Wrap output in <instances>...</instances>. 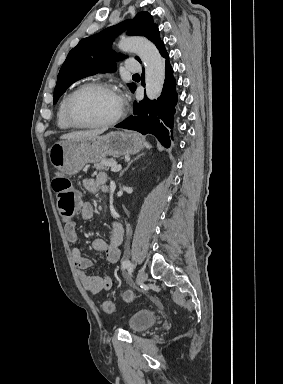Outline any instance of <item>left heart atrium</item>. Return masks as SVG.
Wrapping results in <instances>:
<instances>
[{"instance_id":"obj_1","label":"left heart atrium","mask_w":283,"mask_h":384,"mask_svg":"<svg viewBox=\"0 0 283 384\" xmlns=\"http://www.w3.org/2000/svg\"><path fill=\"white\" fill-rule=\"evenodd\" d=\"M116 98H117L118 102L121 103V101H122L121 97L116 95Z\"/></svg>"}]
</instances>
